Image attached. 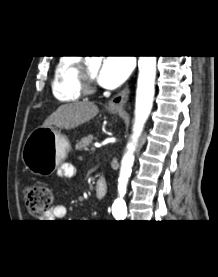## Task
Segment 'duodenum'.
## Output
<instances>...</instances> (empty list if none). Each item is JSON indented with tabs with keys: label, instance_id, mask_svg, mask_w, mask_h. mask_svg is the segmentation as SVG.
<instances>
[{
	"label": "duodenum",
	"instance_id": "obj_1",
	"mask_svg": "<svg viewBox=\"0 0 218 277\" xmlns=\"http://www.w3.org/2000/svg\"><path fill=\"white\" fill-rule=\"evenodd\" d=\"M95 193L98 199H103L106 196L108 185L105 179L99 178L94 185Z\"/></svg>",
	"mask_w": 218,
	"mask_h": 277
}]
</instances>
